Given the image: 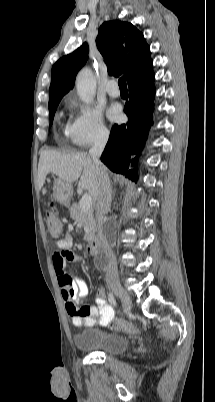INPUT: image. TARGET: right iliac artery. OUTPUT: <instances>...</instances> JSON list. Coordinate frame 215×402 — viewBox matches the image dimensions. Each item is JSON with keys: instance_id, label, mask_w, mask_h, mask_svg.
<instances>
[{"instance_id": "right-iliac-artery-1", "label": "right iliac artery", "mask_w": 215, "mask_h": 402, "mask_svg": "<svg viewBox=\"0 0 215 402\" xmlns=\"http://www.w3.org/2000/svg\"><path fill=\"white\" fill-rule=\"evenodd\" d=\"M108 299H109V302H110L113 306H116V305H117L116 299L114 298V296H113L112 293L109 294Z\"/></svg>"}]
</instances>
